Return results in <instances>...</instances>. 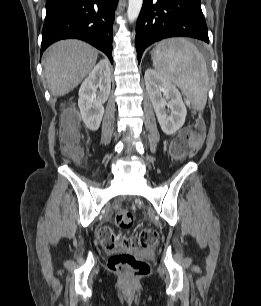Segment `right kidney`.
<instances>
[{"label": "right kidney", "instance_id": "obj_1", "mask_svg": "<svg viewBox=\"0 0 261 306\" xmlns=\"http://www.w3.org/2000/svg\"><path fill=\"white\" fill-rule=\"evenodd\" d=\"M111 89L110 67L106 60H101L79 89L78 106L85 125L96 131L103 118V104L107 101Z\"/></svg>", "mask_w": 261, "mask_h": 306}]
</instances>
